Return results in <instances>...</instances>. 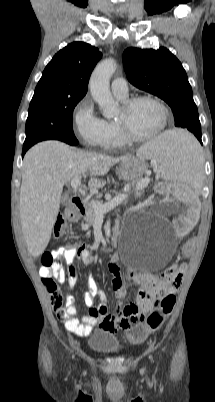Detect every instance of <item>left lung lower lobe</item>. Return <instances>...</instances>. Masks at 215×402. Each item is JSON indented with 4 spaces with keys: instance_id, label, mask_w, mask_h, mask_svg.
<instances>
[{
    "instance_id": "obj_1",
    "label": "left lung lower lobe",
    "mask_w": 215,
    "mask_h": 402,
    "mask_svg": "<svg viewBox=\"0 0 215 402\" xmlns=\"http://www.w3.org/2000/svg\"><path fill=\"white\" fill-rule=\"evenodd\" d=\"M197 139H198V140H199V141L202 143V141H201V137H198Z\"/></svg>"
}]
</instances>
